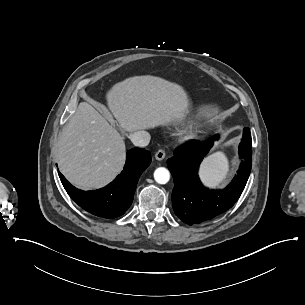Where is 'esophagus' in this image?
I'll list each match as a JSON object with an SVG mask.
<instances>
[{"mask_svg":"<svg viewBox=\"0 0 305 305\" xmlns=\"http://www.w3.org/2000/svg\"><path fill=\"white\" fill-rule=\"evenodd\" d=\"M155 158L157 160H163L165 158V150L164 149H159L156 154H155Z\"/></svg>","mask_w":305,"mask_h":305,"instance_id":"obj_1","label":"esophagus"}]
</instances>
